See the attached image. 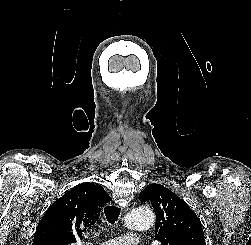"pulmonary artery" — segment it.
<instances>
[{
  "mask_svg": "<svg viewBox=\"0 0 251 245\" xmlns=\"http://www.w3.org/2000/svg\"><path fill=\"white\" fill-rule=\"evenodd\" d=\"M103 245H138V238L134 235H124L107 241Z\"/></svg>",
  "mask_w": 251,
  "mask_h": 245,
  "instance_id": "e3ab8cb5",
  "label": "pulmonary artery"
}]
</instances>
